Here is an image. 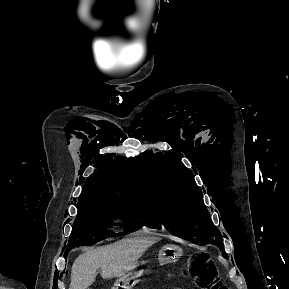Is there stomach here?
Returning a JSON list of instances; mask_svg holds the SVG:
<instances>
[{
    "instance_id": "stomach-1",
    "label": "stomach",
    "mask_w": 289,
    "mask_h": 289,
    "mask_svg": "<svg viewBox=\"0 0 289 289\" xmlns=\"http://www.w3.org/2000/svg\"><path fill=\"white\" fill-rule=\"evenodd\" d=\"M182 256V249L173 244L163 246L159 250L158 259L161 263H173ZM141 262L137 261L135 268L121 276L115 283L114 289H132L136 280L142 275L143 271L139 269Z\"/></svg>"
}]
</instances>
